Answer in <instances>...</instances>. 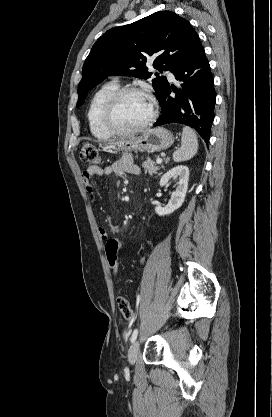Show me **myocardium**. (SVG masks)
Masks as SVG:
<instances>
[{
	"label": "myocardium",
	"mask_w": 272,
	"mask_h": 417,
	"mask_svg": "<svg viewBox=\"0 0 272 417\" xmlns=\"http://www.w3.org/2000/svg\"><path fill=\"white\" fill-rule=\"evenodd\" d=\"M128 95H140L146 98L151 107V114L149 118L143 124L132 129L123 130V129L117 128L114 125L113 116L120 101ZM157 114H158V111H157L156 103L153 97L148 92L137 87H125V88H120L116 92H114L105 103V106L103 108V113H102V123H103L104 128L111 135L130 136V135H134L139 132H142L148 127H150L155 121Z\"/></svg>",
	"instance_id": "obj_1"
}]
</instances>
